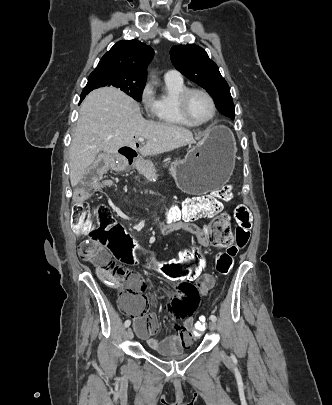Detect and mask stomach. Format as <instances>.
<instances>
[{
	"label": "stomach",
	"mask_w": 332,
	"mask_h": 405,
	"mask_svg": "<svg viewBox=\"0 0 332 405\" xmlns=\"http://www.w3.org/2000/svg\"><path fill=\"white\" fill-rule=\"evenodd\" d=\"M236 144L232 132L223 125L213 126L183 160L170 165L179 188L200 195L222 188L235 167Z\"/></svg>",
	"instance_id": "stomach-1"
}]
</instances>
